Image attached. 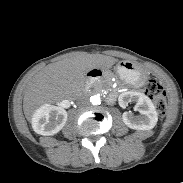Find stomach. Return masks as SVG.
Segmentation results:
<instances>
[{
    "mask_svg": "<svg viewBox=\"0 0 183 183\" xmlns=\"http://www.w3.org/2000/svg\"><path fill=\"white\" fill-rule=\"evenodd\" d=\"M116 69L120 78L133 87H140L147 80V72L130 61L119 62Z\"/></svg>",
    "mask_w": 183,
    "mask_h": 183,
    "instance_id": "stomach-1",
    "label": "stomach"
}]
</instances>
